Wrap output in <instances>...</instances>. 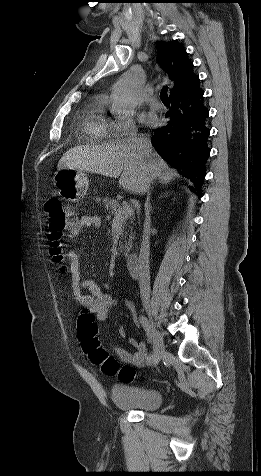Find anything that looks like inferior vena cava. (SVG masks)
Here are the masks:
<instances>
[{
	"label": "inferior vena cava",
	"mask_w": 261,
	"mask_h": 476,
	"mask_svg": "<svg viewBox=\"0 0 261 476\" xmlns=\"http://www.w3.org/2000/svg\"><path fill=\"white\" fill-rule=\"evenodd\" d=\"M127 143L132 145L135 149V155L140 159L144 160L150 157L151 154V142L146 138H138L136 133H131L127 139ZM145 175L143 179L144 183V192L149 193L150 185L152 182V175L150 166L146 164L144 166ZM149 204H145L146 218L144 222L143 230V239L141 243V249L138 259V270H139V288L140 296L142 303L145 307L149 306L150 299V267H149V256H150V216H149Z\"/></svg>",
	"instance_id": "602c4592"
}]
</instances>
